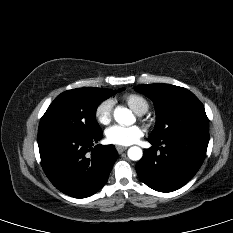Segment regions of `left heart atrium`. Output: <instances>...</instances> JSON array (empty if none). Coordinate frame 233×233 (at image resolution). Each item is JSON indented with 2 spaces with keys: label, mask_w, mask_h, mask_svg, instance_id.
<instances>
[{
  "label": "left heart atrium",
  "mask_w": 233,
  "mask_h": 233,
  "mask_svg": "<svg viewBox=\"0 0 233 233\" xmlns=\"http://www.w3.org/2000/svg\"><path fill=\"white\" fill-rule=\"evenodd\" d=\"M143 134V129L137 125H114L107 129L106 138L111 144L128 146L136 143Z\"/></svg>",
  "instance_id": "left-heart-atrium-1"
}]
</instances>
